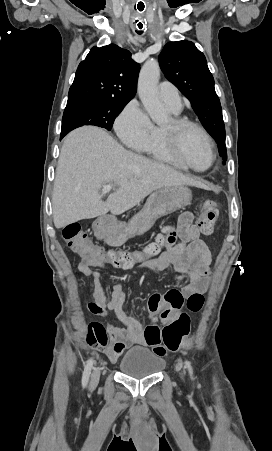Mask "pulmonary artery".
<instances>
[{
    "label": "pulmonary artery",
    "mask_w": 272,
    "mask_h": 451,
    "mask_svg": "<svg viewBox=\"0 0 272 451\" xmlns=\"http://www.w3.org/2000/svg\"><path fill=\"white\" fill-rule=\"evenodd\" d=\"M159 94L162 100L167 102L174 111L179 112L181 110V96L179 94V91L173 84L166 82L160 83Z\"/></svg>",
    "instance_id": "pulmonary-artery-1"
}]
</instances>
